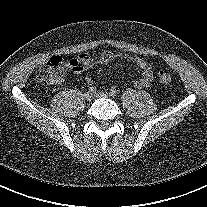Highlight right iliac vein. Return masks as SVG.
<instances>
[{
	"label": "right iliac vein",
	"mask_w": 207,
	"mask_h": 207,
	"mask_svg": "<svg viewBox=\"0 0 207 207\" xmlns=\"http://www.w3.org/2000/svg\"><path fill=\"white\" fill-rule=\"evenodd\" d=\"M84 98H85L86 101H91L94 98V95L91 92H86L84 94Z\"/></svg>",
	"instance_id": "63e3f726"
}]
</instances>
